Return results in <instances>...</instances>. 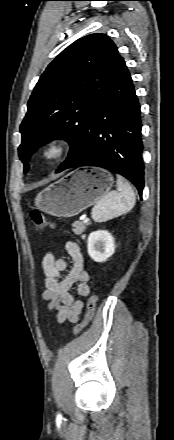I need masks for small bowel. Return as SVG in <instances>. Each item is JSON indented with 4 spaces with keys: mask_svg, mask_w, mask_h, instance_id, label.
Listing matches in <instances>:
<instances>
[{
    "mask_svg": "<svg viewBox=\"0 0 174 440\" xmlns=\"http://www.w3.org/2000/svg\"><path fill=\"white\" fill-rule=\"evenodd\" d=\"M65 249L71 258L72 265L68 269V261L63 257H56L53 253H46L42 260L45 291L42 298L48 304V309L55 312L58 323H76L79 321L84 307L83 299L90 293L88 285L89 274L84 269V258L80 247L72 241H67ZM76 285L75 295L71 292Z\"/></svg>",
    "mask_w": 174,
    "mask_h": 440,
    "instance_id": "1",
    "label": "small bowel"
}]
</instances>
